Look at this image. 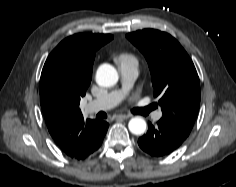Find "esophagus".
Returning a JSON list of instances; mask_svg holds the SVG:
<instances>
[{
    "instance_id": "obj_1",
    "label": "esophagus",
    "mask_w": 236,
    "mask_h": 187,
    "mask_svg": "<svg viewBox=\"0 0 236 187\" xmlns=\"http://www.w3.org/2000/svg\"><path fill=\"white\" fill-rule=\"evenodd\" d=\"M129 117H130V115L118 114L115 116V119H128Z\"/></svg>"
}]
</instances>
